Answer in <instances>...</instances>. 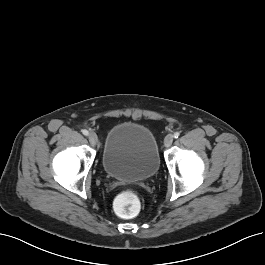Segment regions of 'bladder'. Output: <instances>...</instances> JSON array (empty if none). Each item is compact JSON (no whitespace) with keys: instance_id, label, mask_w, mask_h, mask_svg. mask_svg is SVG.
Returning a JSON list of instances; mask_svg holds the SVG:
<instances>
[{"instance_id":"1","label":"bladder","mask_w":265,"mask_h":265,"mask_svg":"<svg viewBox=\"0 0 265 265\" xmlns=\"http://www.w3.org/2000/svg\"><path fill=\"white\" fill-rule=\"evenodd\" d=\"M103 169L112 178L123 181H146L160 166L155 134L138 122L124 121L106 134Z\"/></svg>"}]
</instances>
